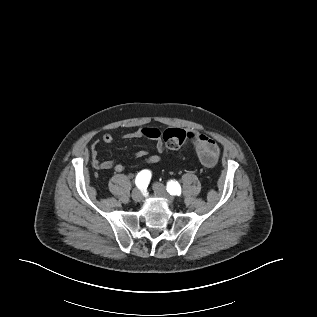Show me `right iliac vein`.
Returning <instances> with one entry per match:
<instances>
[{
  "label": "right iliac vein",
  "instance_id": "right-iliac-vein-1",
  "mask_svg": "<svg viewBox=\"0 0 317 317\" xmlns=\"http://www.w3.org/2000/svg\"><path fill=\"white\" fill-rule=\"evenodd\" d=\"M132 198L136 202H140L143 199L142 192L139 189H134L132 191Z\"/></svg>",
  "mask_w": 317,
  "mask_h": 317
}]
</instances>
